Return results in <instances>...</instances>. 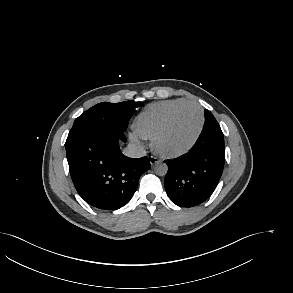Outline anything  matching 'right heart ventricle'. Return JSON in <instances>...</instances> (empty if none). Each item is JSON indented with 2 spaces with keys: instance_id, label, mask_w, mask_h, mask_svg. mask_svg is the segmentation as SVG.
<instances>
[{
  "instance_id": "right-heart-ventricle-1",
  "label": "right heart ventricle",
  "mask_w": 293,
  "mask_h": 293,
  "mask_svg": "<svg viewBox=\"0 0 293 293\" xmlns=\"http://www.w3.org/2000/svg\"><path fill=\"white\" fill-rule=\"evenodd\" d=\"M189 102L178 98L152 103L145 107L134 121L136 134L144 139H150L163 124L169 113L177 106Z\"/></svg>"
}]
</instances>
